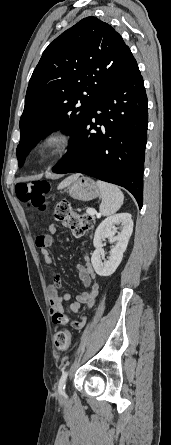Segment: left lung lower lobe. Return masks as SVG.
<instances>
[{
  "label": "left lung lower lobe",
  "instance_id": "1",
  "mask_svg": "<svg viewBox=\"0 0 171 445\" xmlns=\"http://www.w3.org/2000/svg\"><path fill=\"white\" fill-rule=\"evenodd\" d=\"M147 96L138 65L115 76L87 114L66 155L52 169L83 173L126 188L143 204Z\"/></svg>",
  "mask_w": 171,
  "mask_h": 445
}]
</instances>
